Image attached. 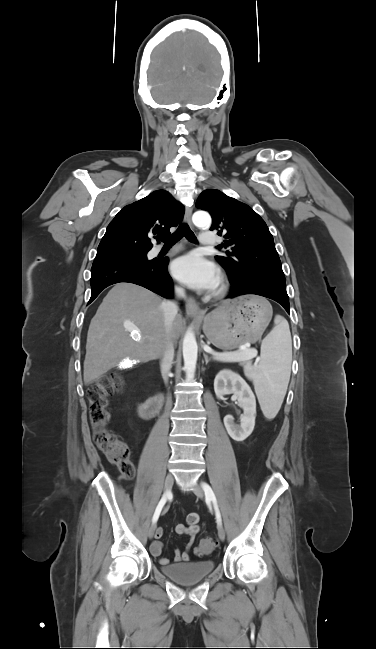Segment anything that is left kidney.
Masks as SVG:
<instances>
[{"instance_id": "left-kidney-1", "label": "left kidney", "mask_w": 376, "mask_h": 649, "mask_svg": "<svg viewBox=\"0 0 376 649\" xmlns=\"http://www.w3.org/2000/svg\"><path fill=\"white\" fill-rule=\"evenodd\" d=\"M214 391L218 398L233 394L239 406L243 409L240 425L234 423L232 415L224 417V425L228 434L236 441L245 440L253 431L256 418V400L250 386L237 373L230 370L220 371L214 380Z\"/></svg>"}]
</instances>
